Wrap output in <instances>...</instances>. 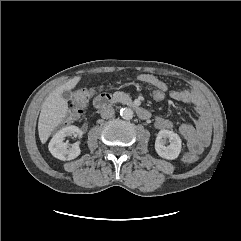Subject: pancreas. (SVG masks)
<instances>
[{
    "instance_id": "1",
    "label": "pancreas",
    "mask_w": 241,
    "mask_h": 241,
    "mask_svg": "<svg viewBox=\"0 0 241 241\" xmlns=\"http://www.w3.org/2000/svg\"><path fill=\"white\" fill-rule=\"evenodd\" d=\"M124 95L122 93H119V92H116L114 95H113V100L114 101H119Z\"/></svg>"
}]
</instances>
